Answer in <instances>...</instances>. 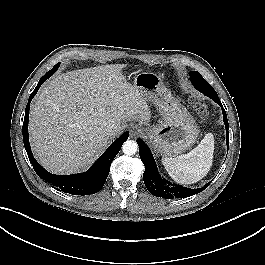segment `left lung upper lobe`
Wrapping results in <instances>:
<instances>
[{
  "instance_id": "5c2ea615",
  "label": "left lung upper lobe",
  "mask_w": 265,
  "mask_h": 265,
  "mask_svg": "<svg viewBox=\"0 0 265 265\" xmlns=\"http://www.w3.org/2000/svg\"><path fill=\"white\" fill-rule=\"evenodd\" d=\"M190 78L191 79H204L201 75H200V73L199 72H197V71H191L190 72Z\"/></svg>"
}]
</instances>
